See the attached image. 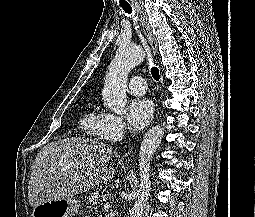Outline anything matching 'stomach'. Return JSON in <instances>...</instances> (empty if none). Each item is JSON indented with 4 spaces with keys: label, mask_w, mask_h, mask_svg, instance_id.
<instances>
[{
    "label": "stomach",
    "mask_w": 255,
    "mask_h": 217,
    "mask_svg": "<svg viewBox=\"0 0 255 217\" xmlns=\"http://www.w3.org/2000/svg\"><path fill=\"white\" fill-rule=\"evenodd\" d=\"M79 208L80 203L74 198L55 199L35 206L33 217H72Z\"/></svg>",
    "instance_id": "obj_1"
}]
</instances>
